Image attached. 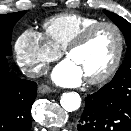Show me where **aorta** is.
I'll return each mask as SVG.
<instances>
[{
	"instance_id": "762f6f07",
	"label": "aorta",
	"mask_w": 131,
	"mask_h": 131,
	"mask_svg": "<svg viewBox=\"0 0 131 131\" xmlns=\"http://www.w3.org/2000/svg\"><path fill=\"white\" fill-rule=\"evenodd\" d=\"M60 104L68 112L76 111L81 106V98L76 92H66L62 94Z\"/></svg>"
}]
</instances>
